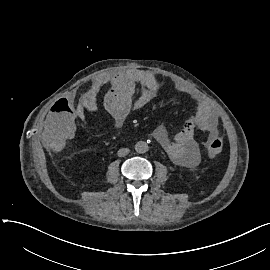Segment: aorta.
<instances>
[{
  "mask_svg": "<svg viewBox=\"0 0 270 270\" xmlns=\"http://www.w3.org/2000/svg\"><path fill=\"white\" fill-rule=\"evenodd\" d=\"M135 150L137 153L143 154L149 150L148 144L145 141H138L135 144Z\"/></svg>",
  "mask_w": 270,
  "mask_h": 270,
  "instance_id": "762f6f07",
  "label": "aorta"
}]
</instances>
